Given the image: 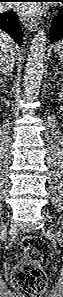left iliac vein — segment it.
I'll return each mask as SVG.
<instances>
[{"instance_id":"4c4485c4","label":"left iliac vein","mask_w":63,"mask_h":297,"mask_svg":"<svg viewBox=\"0 0 63 297\" xmlns=\"http://www.w3.org/2000/svg\"><path fill=\"white\" fill-rule=\"evenodd\" d=\"M45 217L49 220V216L47 213H44Z\"/></svg>"}]
</instances>
